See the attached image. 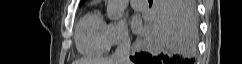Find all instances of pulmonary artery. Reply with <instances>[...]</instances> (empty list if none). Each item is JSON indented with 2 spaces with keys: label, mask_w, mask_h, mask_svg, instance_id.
<instances>
[{
  "label": "pulmonary artery",
  "mask_w": 242,
  "mask_h": 64,
  "mask_svg": "<svg viewBox=\"0 0 242 64\" xmlns=\"http://www.w3.org/2000/svg\"><path fill=\"white\" fill-rule=\"evenodd\" d=\"M131 6L138 11H144L147 8L146 0H131Z\"/></svg>",
  "instance_id": "e3ab8cb5"
}]
</instances>
